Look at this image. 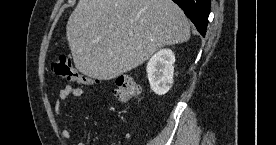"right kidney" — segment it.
Here are the masks:
<instances>
[{"label": "right kidney", "mask_w": 276, "mask_h": 145, "mask_svg": "<svg viewBox=\"0 0 276 145\" xmlns=\"http://www.w3.org/2000/svg\"><path fill=\"white\" fill-rule=\"evenodd\" d=\"M175 55L170 49H161L147 64V76L151 89L158 95L166 94L173 84Z\"/></svg>", "instance_id": "obj_1"}]
</instances>
